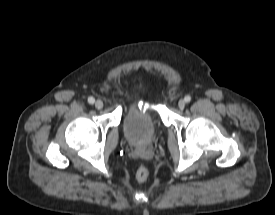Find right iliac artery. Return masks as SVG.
<instances>
[{"instance_id":"obj_1","label":"right iliac artery","mask_w":275,"mask_h":215,"mask_svg":"<svg viewBox=\"0 0 275 215\" xmlns=\"http://www.w3.org/2000/svg\"><path fill=\"white\" fill-rule=\"evenodd\" d=\"M94 102H95V99L93 97L88 98V103L89 104H94Z\"/></svg>"}]
</instances>
